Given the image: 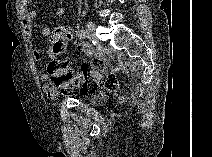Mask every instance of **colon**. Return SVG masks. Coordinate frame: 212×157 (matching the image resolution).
Returning a JSON list of instances; mask_svg holds the SVG:
<instances>
[{
  "label": "colon",
  "mask_w": 212,
  "mask_h": 157,
  "mask_svg": "<svg viewBox=\"0 0 212 157\" xmlns=\"http://www.w3.org/2000/svg\"><path fill=\"white\" fill-rule=\"evenodd\" d=\"M73 31L69 26L56 27L50 37L54 42L53 52L59 54L71 41ZM48 72L51 75V83L63 93L80 92L88 94L99 87L113 91L117 87V80L114 75L107 73L102 63L91 69L81 67L74 71L67 60H54L48 65Z\"/></svg>",
  "instance_id": "1"
}]
</instances>
